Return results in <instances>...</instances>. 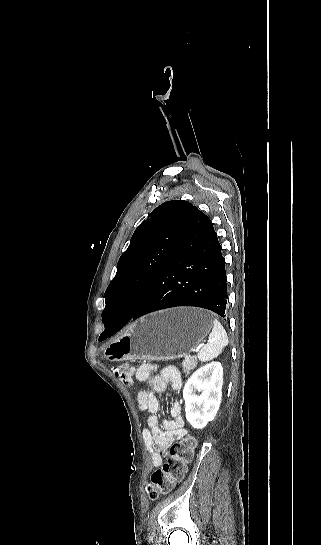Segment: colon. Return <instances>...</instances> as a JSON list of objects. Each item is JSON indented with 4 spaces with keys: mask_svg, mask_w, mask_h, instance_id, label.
<instances>
[{
    "mask_svg": "<svg viewBox=\"0 0 321 545\" xmlns=\"http://www.w3.org/2000/svg\"><path fill=\"white\" fill-rule=\"evenodd\" d=\"M113 375L125 385L133 382L134 369L130 364H116L112 367ZM195 448L193 438H184L170 448V456L161 468L156 469L147 485V492L150 498L156 499L172 491L175 485L180 482L192 460Z\"/></svg>",
    "mask_w": 321,
    "mask_h": 545,
    "instance_id": "1",
    "label": "colon"
}]
</instances>
